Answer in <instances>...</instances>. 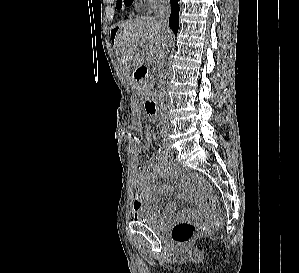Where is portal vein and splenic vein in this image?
I'll return each mask as SVG.
<instances>
[{
	"label": "portal vein and splenic vein",
	"mask_w": 299,
	"mask_h": 273,
	"mask_svg": "<svg viewBox=\"0 0 299 273\" xmlns=\"http://www.w3.org/2000/svg\"><path fill=\"white\" fill-rule=\"evenodd\" d=\"M141 46H142V47H145V49H147V45H146V44L143 43ZM147 60H148L149 62H152V61H153V59H152L151 57H148Z\"/></svg>",
	"instance_id": "1"
}]
</instances>
